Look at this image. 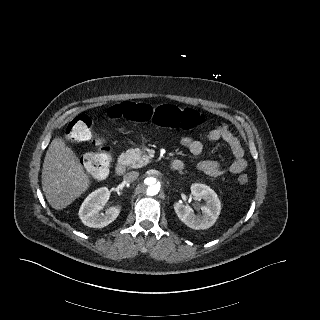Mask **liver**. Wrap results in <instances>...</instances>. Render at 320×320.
I'll list each match as a JSON object with an SVG mask.
<instances>
[{
    "label": "liver",
    "instance_id": "6515ba94",
    "mask_svg": "<svg viewBox=\"0 0 320 320\" xmlns=\"http://www.w3.org/2000/svg\"><path fill=\"white\" fill-rule=\"evenodd\" d=\"M41 177L46 199L56 210L66 208L89 187L78 158L61 138L53 139L49 145Z\"/></svg>",
    "mask_w": 320,
    "mask_h": 320
}]
</instances>
